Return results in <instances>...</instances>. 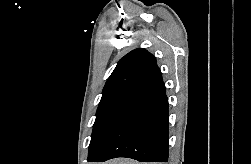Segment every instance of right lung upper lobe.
Instances as JSON below:
<instances>
[{
	"mask_svg": "<svg viewBox=\"0 0 251 164\" xmlns=\"http://www.w3.org/2000/svg\"><path fill=\"white\" fill-rule=\"evenodd\" d=\"M161 81L162 74L155 57L139 48L118 62L103 88V94L124 88L144 90Z\"/></svg>",
	"mask_w": 251,
	"mask_h": 164,
	"instance_id": "1",
	"label": "right lung upper lobe"
}]
</instances>
